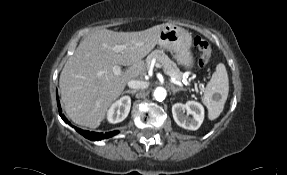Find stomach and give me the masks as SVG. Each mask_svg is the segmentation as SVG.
<instances>
[{
  "label": "stomach",
  "instance_id": "obj_1",
  "mask_svg": "<svg viewBox=\"0 0 287 175\" xmlns=\"http://www.w3.org/2000/svg\"><path fill=\"white\" fill-rule=\"evenodd\" d=\"M158 44L161 48L171 52L178 64L186 69L193 67L194 58L190 50L192 36L184 28L166 25L159 33Z\"/></svg>",
  "mask_w": 287,
  "mask_h": 175
}]
</instances>
